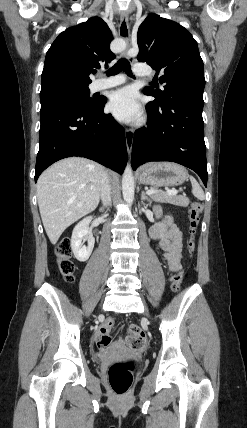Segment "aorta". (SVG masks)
Segmentation results:
<instances>
[{
  "instance_id": "obj_1",
  "label": "aorta",
  "mask_w": 247,
  "mask_h": 428,
  "mask_svg": "<svg viewBox=\"0 0 247 428\" xmlns=\"http://www.w3.org/2000/svg\"><path fill=\"white\" fill-rule=\"evenodd\" d=\"M125 47L122 46L121 50ZM128 56L136 55V52L133 50L128 51ZM122 192L123 198L127 204H132L134 200V178L132 174L131 166L128 164L124 170L123 178H122Z\"/></svg>"
}]
</instances>
